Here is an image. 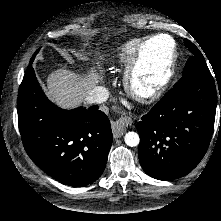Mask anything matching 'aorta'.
Returning a JSON list of instances; mask_svg holds the SVG:
<instances>
[{"label":"aorta","mask_w":221,"mask_h":221,"mask_svg":"<svg viewBox=\"0 0 221 221\" xmlns=\"http://www.w3.org/2000/svg\"><path fill=\"white\" fill-rule=\"evenodd\" d=\"M125 143L130 147H135L139 144L140 138L139 135L136 132L130 131L126 133L124 137Z\"/></svg>","instance_id":"1"}]
</instances>
